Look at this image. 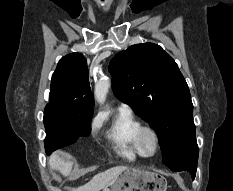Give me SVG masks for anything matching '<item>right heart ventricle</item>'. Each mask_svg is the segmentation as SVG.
<instances>
[{
  "label": "right heart ventricle",
  "instance_id": "e07e8e85",
  "mask_svg": "<svg viewBox=\"0 0 233 191\" xmlns=\"http://www.w3.org/2000/svg\"><path fill=\"white\" fill-rule=\"evenodd\" d=\"M140 126L141 123L129 110H119L115 115L107 130V139L119 156L130 161L146 157L137 140Z\"/></svg>",
  "mask_w": 233,
  "mask_h": 191
}]
</instances>
